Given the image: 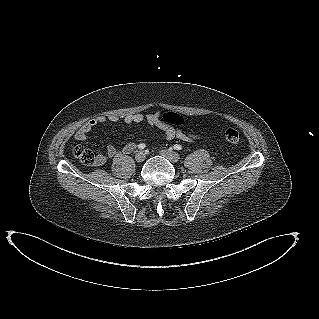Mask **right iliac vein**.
I'll use <instances>...</instances> for the list:
<instances>
[{
	"label": "right iliac vein",
	"mask_w": 319,
	"mask_h": 319,
	"mask_svg": "<svg viewBox=\"0 0 319 319\" xmlns=\"http://www.w3.org/2000/svg\"><path fill=\"white\" fill-rule=\"evenodd\" d=\"M146 156L143 151H139L135 155V160L139 163L143 162L145 160Z\"/></svg>",
	"instance_id": "obj_1"
}]
</instances>
